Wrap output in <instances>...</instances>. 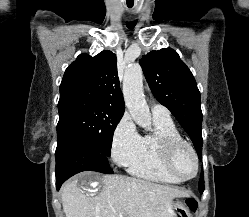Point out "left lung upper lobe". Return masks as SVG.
I'll use <instances>...</instances> for the list:
<instances>
[{
	"mask_svg": "<svg viewBox=\"0 0 249 217\" xmlns=\"http://www.w3.org/2000/svg\"><path fill=\"white\" fill-rule=\"evenodd\" d=\"M144 75L155 98L175 116L190 136L201 159L202 112L200 92L188 67L170 48L151 51L140 60ZM200 192L204 183L199 181Z\"/></svg>",
	"mask_w": 249,
	"mask_h": 217,
	"instance_id": "left-lung-upper-lobe-1",
	"label": "left lung upper lobe"
}]
</instances>
